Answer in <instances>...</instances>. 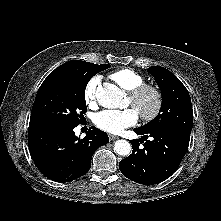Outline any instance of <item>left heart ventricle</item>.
<instances>
[{
	"mask_svg": "<svg viewBox=\"0 0 221 221\" xmlns=\"http://www.w3.org/2000/svg\"><path fill=\"white\" fill-rule=\"evenodd\" d=\"M129 104H131V100H129ZM154 105V98L152 95L148 94L144 96L140 102L134 106V109L137 112H149Z\"/></svg>",
	"mask_w": 221,
	"mask_h": 221,
	"instance_id": "left-heart-ventricle-1",
	"label": "left heart ventricle"
}]
</instances>
